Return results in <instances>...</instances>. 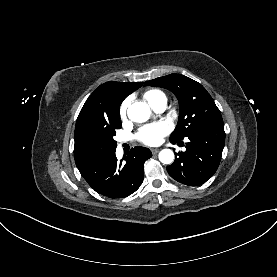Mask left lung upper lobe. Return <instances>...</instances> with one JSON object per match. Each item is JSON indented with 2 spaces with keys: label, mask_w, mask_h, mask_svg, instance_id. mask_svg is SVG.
Here are the masks:
<instances>
[{
  "label": "left lung upper lobe",
  "mask_w": 277,
  "mask_h": 277,
  "mask_svg": "<svg viewBox=\"0 0 277 277\" xmlns=\"http://www.w3.org/2000/svg\"><path fill=\"white\" fill-rule=\"evenodd\" d=\"M144 85L166 88L179 101V120L170 136L171 141L183 140L204 125L222 121L221 113L210 94L191 78L173 73L146 81Z\"/></svg>",
  "instance_id": "obj_1"
}]
</instances>
